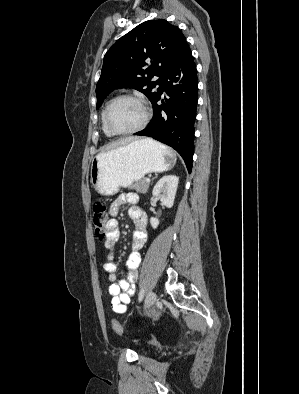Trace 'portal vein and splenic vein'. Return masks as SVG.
Masks as SVG:
<instances>
[{
    "mask_svg": "<svg viewBox=\"0 0 299 394\" xmlns=\"http://www.w3.org/2000/svg\"><path fill=\"white\" fill-rule=\"evenodd\" d=\"M150 181H151V180H150L149 178H147V179H146V182H148V183H149Z\"/></svg>",
    "mask_w": 299,
    "mask_h": 394,
    "instance_id": "1",
    "label": "portal vein and splenic vein"
}]
</instances>
